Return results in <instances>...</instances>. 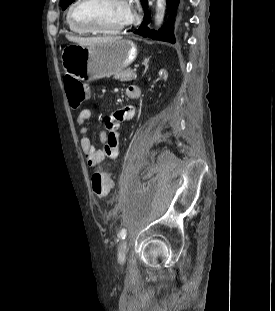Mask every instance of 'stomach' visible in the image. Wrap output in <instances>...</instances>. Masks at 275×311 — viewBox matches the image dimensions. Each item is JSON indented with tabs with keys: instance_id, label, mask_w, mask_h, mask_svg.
<instances>
[{
	"instance_id": "stomach-1",
	"label": "stomach",
	"mask_w": 275,
	"mask_h": 311,
	"mask_svg": "<svg viewBox=\"0 0 275 311\" xmlns=\"http://www.w3.org/2000/svg\"><path fill=\"white\" fill-rule=\"evenodd\" d=\"M137 57V48L128 39L108 43L67 45L61 55L65 73L79 80H98L120 73Z\"/></svg>"
}]
</instances>
